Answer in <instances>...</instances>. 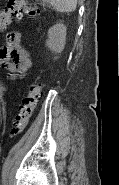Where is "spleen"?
Instances as JSON below:
<instances>
[{"label":"spleen","mask_w":119,"mask_h":185,"mask_svg":"<svg viewBox=\"0 0 119 185\" xmlns=\"http://www.w3.org/2000/svg\"><path fill=\"white\" fill-rule=\"evenodd\" d=\"M49 3L55 11L72 12L75 11L77 0H42Z\"/></svg>","instance_id":"1"}]
</instances>
